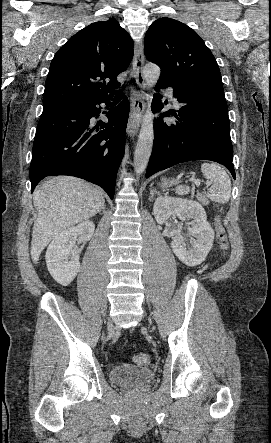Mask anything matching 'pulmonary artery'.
<instances>
[{
    "mask_svg": "<svg viewBox=\"0 0 271 443\" xmlns=\"http://www.w3.org/2000/svg\"><path fill=\"white\" fill-rule=\"evenodd\" d=\"M166 95L168 96L170 101L173 103V106L175 108H179L180 105H179L178 99L174 96L173 91L171 89L166 91Z\"/></svg>",
    "mask_w": 271,
    "mask_h": 443,
    "instance_id": "e3ab8cb5",
    "label": "pulmonary artery"
}]
</instances>
